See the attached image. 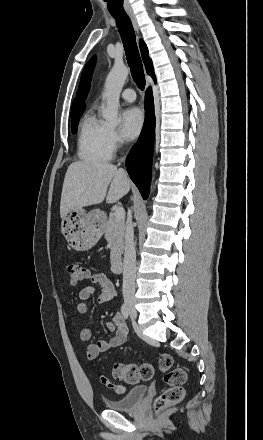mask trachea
Wrapping results in <instances>:
<instances>
[{"label":"trachea","instance_id":"3493384b","mask_svg":"<svg viewBox=\"0 0 263 440\" xmlns=\"http://www.w3.org/2000/svg\"><path fill=\"white\" fill-rule=\"evenodd\" d=\"M110 13L116 19L132 78L137 87L143 90L145 88V75L131 20L124 11H110Z\"/></svg>","mask_w":263,"mask_h":440}]
</instances>
